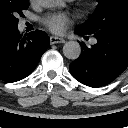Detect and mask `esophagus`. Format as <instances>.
<instances>
[{"instance_id":"34e87169","label":"esophagus","mask_w":128,"mask_h":128,"mask_svg":"<svg viewBox=\"0 0 128 128\" xmlns=\"http://www.w3.org/2000/svg\"><path fill=\"white\" fill-rule=\"evenodd\" d=\"M65 40L63 38H60V37H56V36H51L50 37V44L53 45V44H58V43H64Z\"/></svg>"}]
</instances>
